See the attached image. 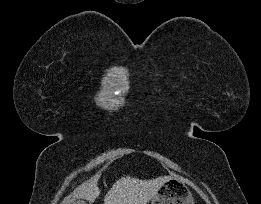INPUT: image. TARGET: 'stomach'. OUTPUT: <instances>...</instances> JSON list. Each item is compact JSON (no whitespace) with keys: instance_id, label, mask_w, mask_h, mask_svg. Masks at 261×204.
<instances>
[{"instance_id":"obj_1","label":"stomach","mask_w":261,"mask_h":204,"mask_svg":"<svg viewBox=\"0 0 261 204\" xmlns=\"http://www.w3.org/2000/svg\"><path fill=\"white\" fill-rule=\"evenodd\" d=\"M151 204H194V199L186 182L174 176L162 185Z\"/></svg>"}]
</instances>
